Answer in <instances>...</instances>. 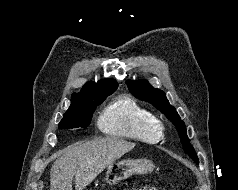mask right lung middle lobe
Instances as JSON below:
<instances>
[{
    "instance_id": "right-lung-middle-lobe-1",
    "label": "right lung middle lobe",
    "mask_w": 238,
    "mask_h": 190,
    "mask_svg": "<svg viewBox=\"0 0 238 190\" xmlns=\"http://www.w3.org/2000/svg\"><path fill=\"white\" fill-rule=\"evenodd\" d=\"M112 93L99 94L82 100L76 107H69L59 123V128H77L89 126L96 106L101 104Z\"/></svg>"
}]
</instances>
